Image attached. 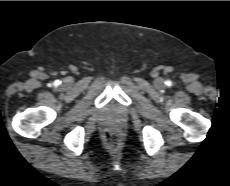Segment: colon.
Here are the masks:
<instances>
[{
    "instance_id": "colon-1",
    "label": "colon",
    "mask_w": 230,
    "mask_h": 186,
    "mask_svg": "<svg viewBox=\"0 0 230 186\" xmlns=\"http://www.w3.org/2000/svg\"><path fill=\"white\" fill-rule=\"evenodd\" d=\"M105 145L110 149H117L121 144V132L117 128H108L103 135Z\"/></svg>"
}]
</instances>
